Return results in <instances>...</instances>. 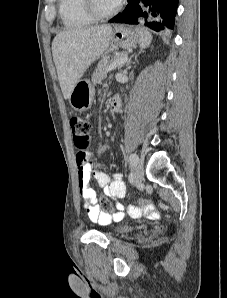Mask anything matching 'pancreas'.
<instances>
[{
    "label": "pancreas",
    "instance_id": "cf45deb5",
    "mask_svg": "<svg viewBox=\"0 0 227 298\" xmlns=\"http://www.w3.org/2000/svg\"><path fill=\"white\" fill-rule=\"evenodd\" d=\"M126 55L125 53H121V54H117L114 57H112L111 59L108 56H104L98 63L95 72L92 75V83L93 85H96L98 83H100L106 76L107 74V69L109 68V66L116 61L117 59H119L120 57ZM123 66V64L118 66V69H120Z\"/></svg>",
    "mask_w": 227,
    "mask_h": 298
}]
</instances>
